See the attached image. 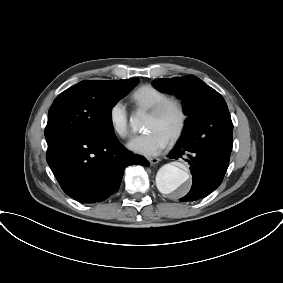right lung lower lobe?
<instances>
[{
    "label": "right lung lower lobe",
    "mask_w": 283,
    "mask_h": 283,
    "mask_svg": "<svg viewBox=\"0 0 283 283\" xmlns=\"http://www.w3.org/2000/svg\"><path fill=\"white\" fill-rule=\"evenodd\" d=\"M47 163L63 191L83 203L102 202L119 190L124 169L149 162L123 147L115 134L74 135L48 144Z\"/></svg>",
    "instance_id": "98d812e1"
}]
</instances>
